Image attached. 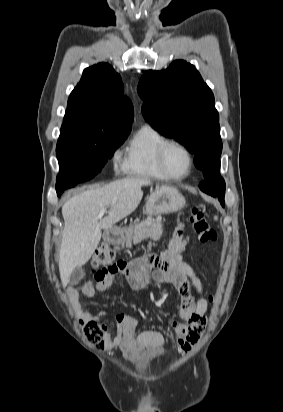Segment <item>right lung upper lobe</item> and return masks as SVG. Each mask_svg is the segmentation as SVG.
<instances>
[{"mask_svg":"<svg viewBox=\"0 0 283 412\" xmlns=\"http://www.w3.org/2000/svg\"><path fill=\"white\" fill-rule=\"evenodd\" d=\"M123 93L121 77L109 64L89 67L69 96L64 120L94 134L130 132L133 106Z\"/></svg>","mask_w":283,"mask_h":412,"instance_id":"cb5924a9","label":"right lung upper lobe"}]
</instances>
